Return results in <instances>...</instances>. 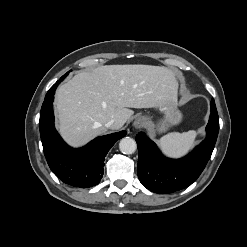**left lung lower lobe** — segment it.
<instances>
[{
	"label": "left lung lower lobe",
	"instance_id": "1",
	"mask_svg": "<svg viewBox=\"0 0 247 247\" xmlns=\"http://www.w3.org/2000/svg\"><path fill=\"white\" fill-rule=\"evenodd\" d=\"M211 108H216L214 100ZM219 125L208 123L205 140L192 153L181 159L164 157L156 144L143 132L136 136L138 145V177L143 186L157 193H170L192 184L211 157Z\"/></svg>",
	"mask_w": 247,
	"mask_h": 247
}]
</instances>
